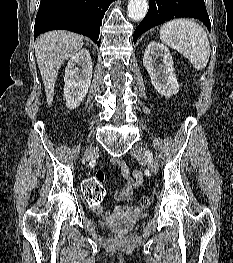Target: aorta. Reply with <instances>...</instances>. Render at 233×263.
<instances>
[{
  "mask_svg": "<svg viewBox=\"0 0 233 263\" xmlns=\"http://www.w3.org/2000/svg\"><path fill=\"white\" fill-rule=\"evenodd\" d=\"M127 10L131 20L141 21L148 11V2L147 0H130Z\"/></svg>",
  "mask_w": 233,
  "mask_h": 263,
  "instance_id": "aorta-1",
  "label": "aorta"
}]
</instances>
